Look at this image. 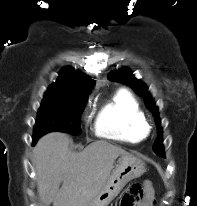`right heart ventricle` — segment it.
Here are the masks:
<instances>
[{
    "mask_svg": "<svg viewBox=\"0 0 197 206\" xmlns=\"http://www.w3.org/2000/svg\"><path fill=\"white\" fill-rule=\"evenodd\" d=\"M99 137L139 142L147 135V122L138 101L126 90L117 91L103 105L95 121Z\"/></svg>",
    "mask_w": 197,
    "mask_h": 206,
    "instance_id": "obj_1",
    "label": "right heart ventricle"
}]
</instances>
